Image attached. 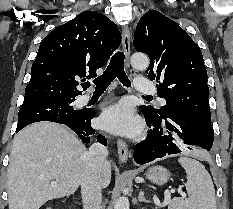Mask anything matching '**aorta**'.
I'll return each instance as SVG.
<instances>
[{"label":"aorta","mask_w":233,"mask_h":209,"mask_svg":"<svg viewBox=\"0 0 233 209\" xmlns=\"http://www.w3.org/2000/svg\"><path fill=\"white\" fill-rule=\"evenodd\" d=\"M130 62L132 67L138 70H146L149 66V58L144 54H133ZM129 207L128 198L122 196L117 200L114 209H129Z\"/></svg>","instance_id":"aorta-1"}]
</instances>
